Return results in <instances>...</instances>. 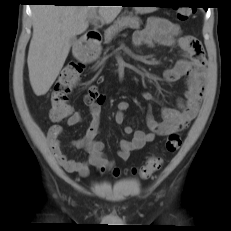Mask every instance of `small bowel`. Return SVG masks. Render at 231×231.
<instances>
[{
	"instance_id": "1",
	"label": "small bowel",
	"mask_w": 231,
	"mask_h": 231,
	"mask_svg": "<svg viewBox=\"0 0 231 231\" xmlns=\"http://www.w3.org/2000/svg\"><path fill=\"white\" fill-rule=\"evenodd\" d=\"M132 41L137 47H153L156 44L178 47L182 52V57L173 68L164 72V78L168 82L185 79L186 91L184 100L178 102V109L169 107L162 109V119L160 121L155 120L150 114L147 116L149 131H134L131 126L124 128V132L132 135V139L120 142L118 157L123 161L128 160L132 152L138 151L147 143L154 141L157 136H165L186 128L198 112L205 87V57L201 43L192 36L181 35L179 25L164 18H152L144 29L133 34ZM102 81V77L97 80L98 83ZM144 97L147 100H155L151 93H145ZM104 100L105 96L99 92L97 85L91 84L88 86L84 102L89 108V126L85 135L73 142L75 147L83 148L88 153L86 160H73L64 153L60 141L63 128L60 125L51 126L48 131V144L59 164L69 173L87 176L91 167L106 169L113 165L103 153V142L96 139L101 106ZM128 108L129 103L125 100L117 103L114 115L117 124H123L125 112ZM82 120L81 113L73 111L67 119V124L76 126Z\"/></svg>"
}]
</instances>
